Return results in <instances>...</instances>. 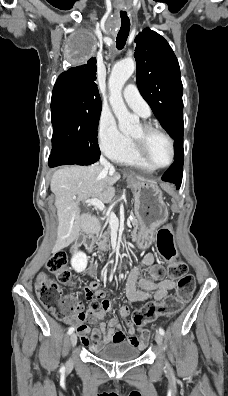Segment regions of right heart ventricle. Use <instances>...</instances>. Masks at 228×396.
Returning <instances> with one entry per match:
<instances>
[{
	"mask_svg": "<svg viewBox=\"0 0 228 396\" xmlns=\"http://www.w3.org/2000/svg\"><path fill=\"white\" fill-rule=\"evenodd\" d=\"M117 162L125 164V165H130L145 171H151L148 167H146L137 157L133 145L131 144L129 150L120 158L117 160Z\"/></svg>",
	"mask_w": 228,
	"mask_h": 396,
	"instance_id": "1",
	"label": "right heart ventricle"
}]
</instances>
